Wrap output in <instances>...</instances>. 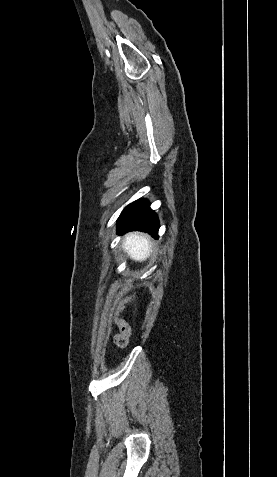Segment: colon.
Returning <instances> with one entry per match:
<instances>
[{
	"label": "colon",
	"instance_id": "1",
	"mask_svg": "<svg viewBox=\"0 0 277 477\" xmlns=\"http://www.w3.org/2000/svg\"><path fill=\"white\" fill-rule=\"evenodd\" d=\"M140 293L131 289L130 292H126L122 298L117 301L116 311L113 313V323L119 325L120 332L115 337V345L119 348H125L128 344L130 336V327L122 318V313L126 310V306L131 303H136L139 301Z\"/></svg>",
	"mask_w": 277,
	"mask_h": 477
}]
</instances>
